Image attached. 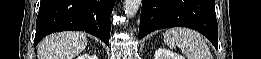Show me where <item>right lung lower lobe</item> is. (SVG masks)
Listing matches in <instances>:
<instances>
[{"label":"right lung lower lobe","mask_w":261,"mask_h":59,"mask_svg":"<svg viewBox=\"0 0 261 59\" xmlns=\"http://www.w3.org/2000/svg\"><path fill=\"white\" fill-rule=\"evenodd\" d=\"M116 0H41L34 46L59 31H85L109 45L110 16Z\"/></svg>","instance_id":"1"}]
</instances>
